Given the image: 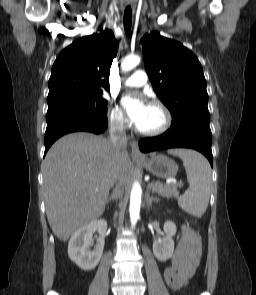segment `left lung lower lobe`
Segmentation results:
<instances>
[{
	"instance_id": "obj_1",
	"label": "left lung lower lobe",
	"mask_w": 256,
	"mask_h": 295,
	"mask_svg": "<svg viewBox=\"0 0 256 295\" xmlns=\"http://www.w3.org/2000/svg\"><path fill=\"white\" fill-rule=\"evenodd\" d=\"M178 147L191 148L201 152L213 166L211 130L208 123L194 120L184 121L176 126H171L160 136L145 138L139 142L142 152Z\"/></svg>"
}]
</instances>
